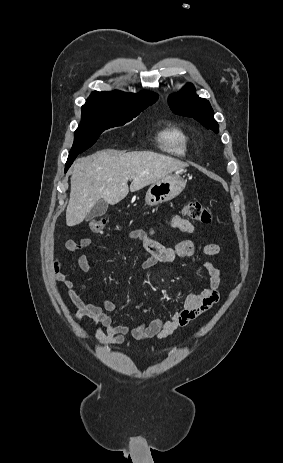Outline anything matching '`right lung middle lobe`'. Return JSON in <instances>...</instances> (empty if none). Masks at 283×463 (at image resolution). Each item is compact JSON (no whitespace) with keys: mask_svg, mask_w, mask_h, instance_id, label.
<instances>
[{"mask_svg":"<svg viewBox=\"0 0 283 463\" xmlns=\"http://www.w3.org/2000/svg\"><path fill=\"white\" fill-rule=\"evenodd\" d=\"M148 106L87 101L82 106L81 124L75 131L74 143L69 157L87 150L96 142L103 131L123 126Z\"/></svg>","mask_w":283,"mask_h":463,"instance_id":"obj_1","label":"right lung middle lobe"}]
</instances>
